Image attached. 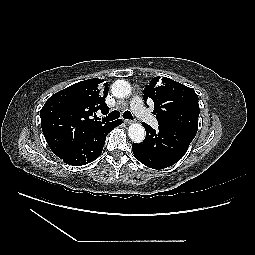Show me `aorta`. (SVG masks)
Listing matches in <instances>:
<instances>
[{
  "instance_id": "aorta-1",
  "label": "aorta",
  "mask_w": 255,
  "mask_h": 255,
  "mask_svg": "<svg viewBox=\"0 0 255 255\" xmlns=\"http://www.w3.org/2000/svg\"><path fill=\"white\" fill-rule=\"evenodd\" d=\"M116 98L127 97L131 93L130 84L125 80H116L111 87ZM129 138L135 143H141L145 139V129L139 123H132L128 128Z\"/></svg>"
}]
</instances>
